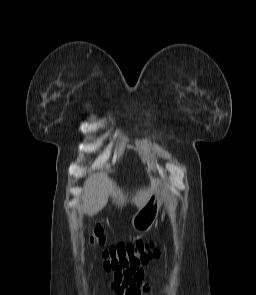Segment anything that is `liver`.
<instances>
[{
  "mask_svg": "<svg viewBox=\"0 0 256 295\" xmlns=\"http://www.w3.org/2000/svg\"><path fill=\"white\" fill-rule=\"evenodd\" d=\"M159 180H152L151 185L146 189L137 190L132 196L131 203L141 208L149 200L150 196L158 190ZM109 196L112 203L123 207L129 202L128 195L117 187L116 183L108 177L107 172L100 171L90 175L84 183V190L81 196V205L78 208L80 214L95 215L102 210L108 202Z\"/></svg>",
  "mask_w": 256,
  "mask_h": 295,
  "instance_id": "liver-1",
  "label": "liver"
}]
</instances>
